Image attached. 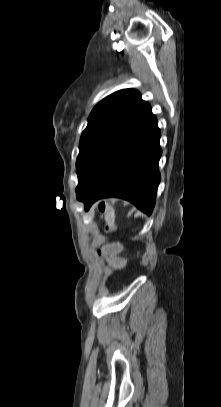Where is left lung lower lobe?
<instances>
[{"instance_id":"obj_1","label":"left lung lower lobe","mask_w":221,"mask_h":407,"mask_svg":"<svg viewBox=\"0 0 221 407\" xmlns=\"http://www.w3.org/2000/svg\"><path fill=\"white\" fill-rule=\"evenodd\" d=\"M159 140L156 117L145 103L77 191L85 210L98 199L119 197L151 214L160 182Z\"/></svg>"}]
</instances>
